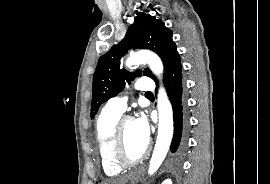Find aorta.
I'll list each match as a JSON object with an SVG mask.
<instances>
[{
	"label": "aorta",
	"mask_w": 270,
	"mask_h": 184,
	"mask_svg": "<svg viewBox=\"0 0 270 184\" xmlns=\"http://www.w3.org/2000/svg\"><path fill=\"white\" fill-rule=\"evenodd\" d=\"M139 64H148L152 72L160 77L163 73L161 59L153 52L139 51L130 54L126 65L131 67ZM158 108V136L149 164V174H154L164 161L173 137V113L170 101L163 88H160L157 99Z\"/></svg>",
	"instance_id": "obj_1"
}]
</instances>
